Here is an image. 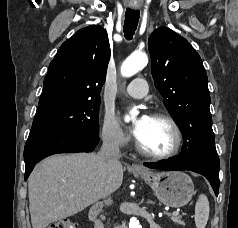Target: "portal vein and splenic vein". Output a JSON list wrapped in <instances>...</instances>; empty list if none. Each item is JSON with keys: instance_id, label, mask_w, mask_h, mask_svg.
Listing matches in <instances>:
<instances>
[{"instance_id": "obj_1", "label": "portal vein and splenic vein", "mask_w": 238, "mask_h": 228, "mask_svg": "<svg viewBox=\"0 0 238 228\" xmlns=\"http://www.w3.org/2000/svg\"><path fill=\"white\" fill-rule=\"evenodd\" d=\"M179 214V212H176V211H174V212H172V215H178Z\"/></svg>"}]
</instances>
